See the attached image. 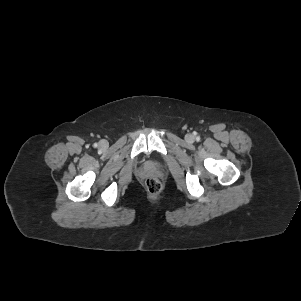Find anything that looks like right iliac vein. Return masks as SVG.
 Here are the masks:
<instances>
[{
    "instance_id": "63e3f726",
    "label": "right iliac vein",
    "mask_w": 301,
    "mask_h": 301,
    "mask_svg": "<svg viewBox=\"0 0 301 301\" xmlns=\"http://www.w3.org/2000/svg\"><path fill=\"white\" fill-rule=\"evenodd\" d=\"M100 146H101V147H105V146H106V142H105V141H102V142L100 143Z\"/></svg>"
}]
</instances>
